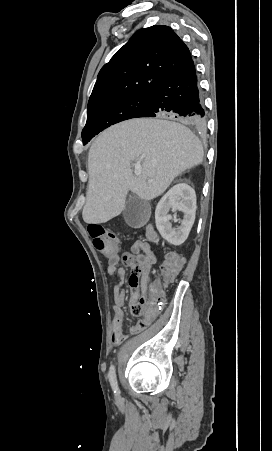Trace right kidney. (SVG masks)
<instances>
[{"label":"right kidney","mask_w":272,"mask_h":451,"mask_svg":"<svg viewBox=\"0 0 272 451\" xmlns=\"http://www.w3.org/2000/svg\"><path fill=\"white\" fill-rule=\"evenodd\" d=\"M183 212V220H179L180 226L172 227L170 220H174L168 212ZM196 194L188 184L173 186L163 198H161L155 210V222L162 237L173 245H181L189 235V231L195 222ZM178 222V220H174Z\"/></svg>","instance_id":"right-kidney-1"}]
</instances>
